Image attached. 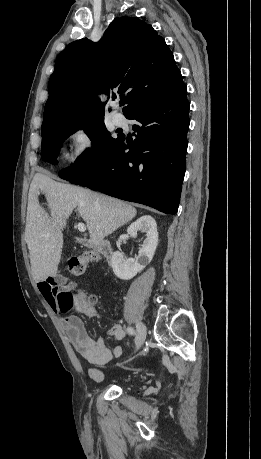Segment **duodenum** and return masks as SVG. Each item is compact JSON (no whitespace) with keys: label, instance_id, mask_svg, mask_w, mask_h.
Listing matches in <instances>:
<instances>
[{"label":"duodenum","instance_id":"410a0bca","mask_svg":"<svg viewBox=\"0 0 261 459\" xmlns=\"http://www.w3.org/2000/svg\"><path fill=\"white\" fill-rule=\"evenodd\" d=\"M81 242L88 247H93V244L88 239H81ZM97 249L108 262L112 261L113 249L108 242H102Z\"/></svg>","mask_w":261,"mask_h":459}]
</instances>
